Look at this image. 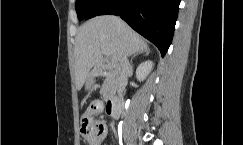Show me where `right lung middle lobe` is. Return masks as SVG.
I'll list each match as a JSON object with an SVG mask.
<instances>
[{
	"label": "right lung middle lobe",
	"instance_id": "obj_1",
	"mask_svg": "<svg viewBox=\"0 0 243 145\" xmlns=\"http://www.w3.org/2000/svg\"><path fill=\"white\" fill-rule=\"evenodd\" d=\"M102 0H76V12L79 20H82L86 15Z\"/></svg>",
	"mask_w": 243,
	"mask_h": 145
}]
</instances>
